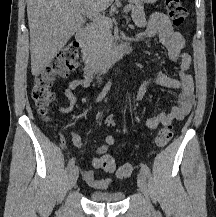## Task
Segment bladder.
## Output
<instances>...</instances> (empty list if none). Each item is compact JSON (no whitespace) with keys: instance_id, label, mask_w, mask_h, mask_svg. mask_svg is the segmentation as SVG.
Masks as SVG:
<instances>
[{"instance_id":"31cf9c89","label":"bladder","mask_w":216,"mask_h":217,"mask_svg":"<svg viewBox=\"0 0 216 217\" xmlns=\"http://www.w3.org/2000/svg\"><path fill=\"white\" fill-rule=\"evenodd\" d=\"M125 197V193L119 191H92L90 198L96 203H118Z\"/></svg>"}]
</instances>
